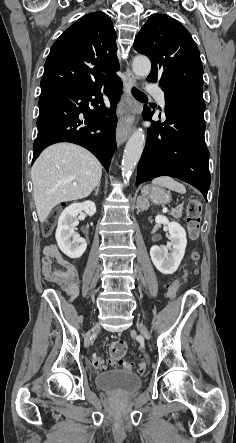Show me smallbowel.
<instances>
[{"mask_svg": "<svg viewBox=\"0 0 236 443\" xmlns=\"http://www.w3.org/2000/svg\"><path fill=\"white\" fill-rule=\"evenodd\" d=\"M42 270L45 279L56 285L70 298L77 294L78 269L76 265L67 260L55 246H47L44 249ZM57 264L60 268H54ZM186 276V272L184 273Z\"/></svg>", "mask_w": 236, "mask_h": 443, "instance_id": "small-bowel-1", "label": "small bowel"}]
</instances>
